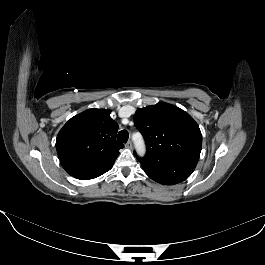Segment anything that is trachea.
<instances>
[{
	"label": "trachea",
	"mask_w": 265,
	"mask_h": 265,
	"mask_svg": "<svg viewBox=\"0 0 265 265\" xmlns=\"http://www.w3.org/2000/svg\"><path fill=\"white\" fill-rule=\"evenodd\" d=\"M129 138V134L127 132V130H121L119 133H118V136H117V140L121 143H126L127 140Z\"/></svg>",
	"instance_id": "trachea-1"
}]
</instances>
